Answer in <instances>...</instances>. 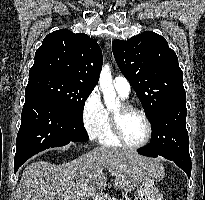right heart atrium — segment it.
Here are the masks:
<instances>
[{"mask_svg": "<svg viewBox=\"0 0 205 200\" xmlns=\"http://www.w3.org/2000/svg\"><path fill=\"white\" fill-rule=\"evenodd\" d=\"M107 120L100 93L97 89L92 90L86 97L82 107V122L90 139H98Z\"/></svg>", "mask_w": 205, "mask_h": 200, "instance_id": "obj_1", "label": "right heart atrium"}]
</instances>
